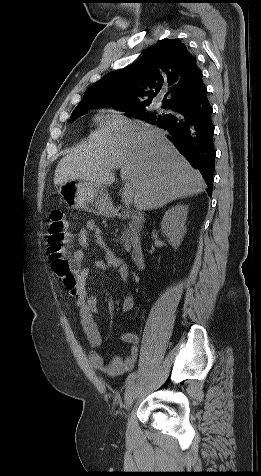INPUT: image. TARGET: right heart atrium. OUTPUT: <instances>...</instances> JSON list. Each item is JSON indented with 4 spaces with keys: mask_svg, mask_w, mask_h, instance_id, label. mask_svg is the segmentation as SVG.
<instances>
[{
    "mask_svg": "<svg viewBox=\"0 0 261 476\" xmlns=\"http://www.w3.org/2000/svg\"><path fill=\"white\" fill-rule=\"evenodd\" d=\"M121 114H122V111H120V110H118V109H112V110H110V115H111V117H113V118L119 117Z\"/></svg>",
    "mask_w": 261,
    "mask_h": 476,
    "instance_id": "right-heart-atrium-1",
    "label": "right heart atrium"
}]
</instances>
